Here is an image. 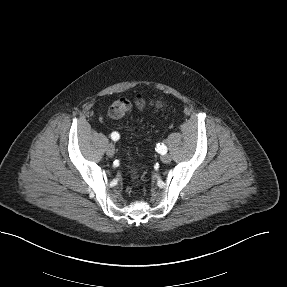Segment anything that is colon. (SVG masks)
Segmentation results:
<instances>
[{"label": "colon", "instance_id": "1", "mask_svg": "<svg viewBox=\"0 0 287 287\" xmlns=\"http://www.w3.org/2000/svg\"><path fill=\"white\" fill-rule=\"evenodd\" d=\"M148 104L161 106L162 102L160 100L149 102L140 96L136 97L133 100L127 98H119L111 104L109 109V115L114 119H119L124 117L133 106L143 108ZM130 172L133 178L137 177L136 170L133 166H131Z\"/></svg>", "mask_w": 287, "mask_h": 287}]
</instances>
